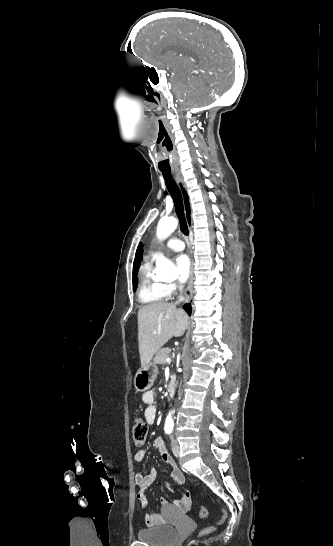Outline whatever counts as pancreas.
<instances>
[{
    "instance_id": "cf45deb5",
    "label": "pancreas",
    "mask_w": 333,
    "mask_h": 546,
    "mask_svg": "<svg viewBox=\"0 0 333 546\" xmlns=\"http://www.w3.org/2000/svg\"><path fill=\"white\" fill-rule=\"evenodd\" d=\"M171 352V349L168 347L160 349L156 356L154 357L153 361L156 364H166V358L169 356V353Z\"/></svg>"
}]
</instances>
